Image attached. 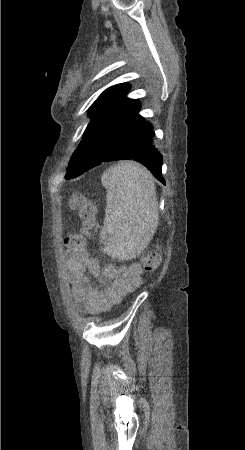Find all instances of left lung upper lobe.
<instances>
[{"label": "left lung upper lobe", "mask_w": 245, "mask_h": 450, "mask_svg": "<svg viewBox=\"0 0 245 450\" xmlns=\"http://www.w3.org/2000/svg\"><path fill=\"white\" fill-rule=\"evenodd\" d=\"M130 86L118 84L106 89L89 108L92 118L88 124L82 145L73 153L66 179L73 178L100 163V157L81 155L79 150L85 145L109 149H121L140 130L144 118L138 114L141 104L125 97ZM100 153V152H99Z\"/></svg>", "instance_id": "5c2ea615"}]
</instances>
